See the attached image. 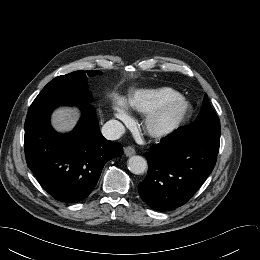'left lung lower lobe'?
Wrapping results in <instances>:
<instances>
[{
  "label": "left lung lower lobe",
  "instance_id": "0a47b994",
  "mask_svg": "<svg viewBox=\"0 0 260 260\" xmlns=\"http://www.w3.org/2000/svg\"><path fill=\"white\" fill-rule=\"evenodd\" d=\"M220 139L170 134L145 153L148 173L139 184L152 209L170 211L185 204L212 172Z\"/></svg>",
  "mask_w": 260,
  "mask_h": 260
}]
</instances>
